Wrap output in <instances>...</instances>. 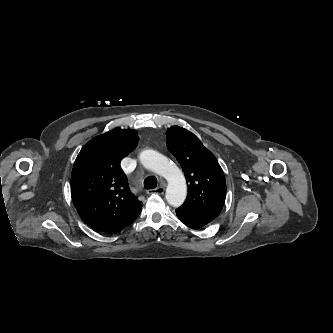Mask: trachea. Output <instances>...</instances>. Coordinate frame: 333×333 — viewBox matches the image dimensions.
<instances>
[{
	"label": "trachea",
	"mask_w": 333,
	"mask_h": 333,
	"mask_svg": "<svg viewBox=\"0 0 333 333\" xmlns=\"http://www.w3.org/2000/svg\"><path fill=\"white\" fill-rule=\"evenodd\" d=\"M156 186H157V178L156 177L150 176V177H147L144 180V187L146 189H153V188H156Z\"/></svg>",
	"instance_id": "trachea-1"
}]
</instances>
